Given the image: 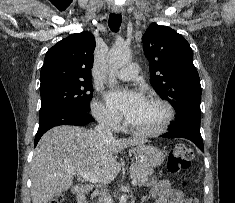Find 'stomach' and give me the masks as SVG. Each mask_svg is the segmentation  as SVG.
<instances>
[{"instance_id":"obj_1","label":"stomach","mask_w":235,"mask_h":203,"mask_svg":"<svg viewBox=\"0 0 235 203\" xmlns=\"http://www.w3.org/2000/svg\"><path fill=\"white\" fill-rule=\"evenodd\" d=\"M131 152L140 165L150 168L160 165L165 158L164 152L152 145H140L132 148Z\"/></svg>"}]
</instances>
